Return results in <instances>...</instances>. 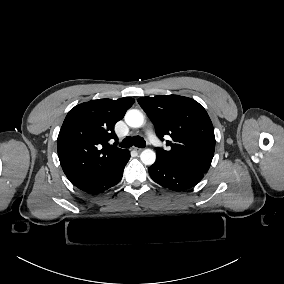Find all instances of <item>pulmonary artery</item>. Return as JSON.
Returning a JSON list of instances; mask_svg holds the SVG:
<instances>
[{"mask_svg": "<svg viewBox=\"0 0 284 284\" xmlns=\"http://www.w3.org/2000/svg\"><path fill=\"white\" fill-rule=\"evenodd\" d=\"M147 140L152 143V146L155 149H160L163 146V141L158 138V135L155 132H150L147 135Z\"/></svg>", "mask_w": 284, "mask_h": 284, "instance_id": "1", "label": "pulmonary artery"}]
</instances>
